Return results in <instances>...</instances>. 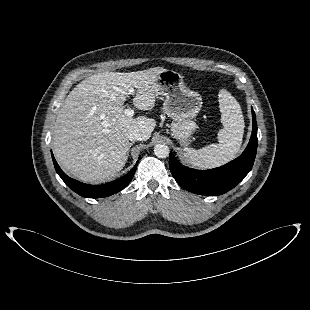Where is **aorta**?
Wrapping results in <instances>:
<instances>
[{
  "mask_svg": "<svg viewBox=\"0 0 310 310\" xmlns=\"http://www.w3.org/2000/svg\"><path fill=\"white\" fill-rule=\"evenodd\" d=\"M169 147L165 144H157L154 147V155L158 158H166L169 156Z\"/></svg>",
  "mask_w": 310,
  "mask_h": 310,
  "instance_id": "obj_1",
  "label": "aorta"
}]
</instances>
